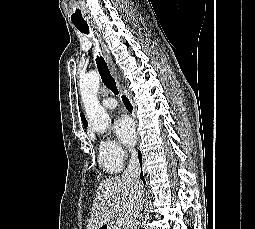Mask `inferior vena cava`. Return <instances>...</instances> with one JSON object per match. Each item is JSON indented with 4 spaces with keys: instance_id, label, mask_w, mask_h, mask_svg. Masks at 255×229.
Returning a JSON list of instances; mask_svg holds the SVG:
<instances>
[{
    "instance_id": "obj_1",
    "label": "inferior vena cava",
    "mask_w": 255,
    "mask_h": 229,
    "mask_svg": "<svg viewBox=\"0 0 255 229\" xmlns=\"http://www.w3.org/2000/svg\"><path fill=\"white\" fill-rule=\"evenodd\" d=\"M131 157L128 167L123 172V177L134 185V196L130 204L125 229H137V218L143 208V190L138 179L141 168L136 150L130 149Z\"/></svg>"
}]
</instances>
